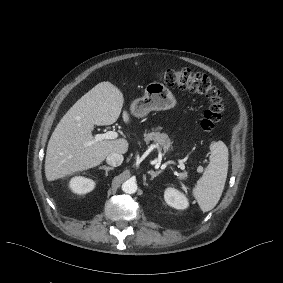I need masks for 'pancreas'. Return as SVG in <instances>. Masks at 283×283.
<instances>
[{
    "label": "pancreas",
    "instance_id": "obj_1",
    "mask_svg": "<svg viewBox=\"0 0 283 283\" xmlns=\"http://www.w3.org/2000/svg\"><path fill=\"white\" fill-rule=\"evenodd\" d=\"M143 137L145 139L146 144H149V142L152 141L153 144L158 148L163 147L165 153L174 150L172 139L169 138L165 132H161V130L157 127L152 128L151 131L145 129ZM182 174L184 178L188 177L187 171H184Z\"/></svg>",
    "mask_w": 283,
    "mask_h": 283
}]
</instances>
